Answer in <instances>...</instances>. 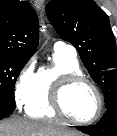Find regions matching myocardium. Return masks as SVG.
Returning a JSON list of instances; mask_svg holds the SVG:
<instances>
[{
  "label": "myocardium",
  "mask_w": 117,
  "mask_h": 136,
  "mask_svg": "<svg viewBox=\"0 0 117 136\" xmlns=\"http://www.w3.org/2000/svg\"><path fill=\"white\" fill-rule=\"evenodd\" d=\"M79 84H86L90 86L97 99V111L92 118L87 120L74 118L69 114L66 107V96L68 92ZM50 104L57 115L63 117L69 122L81 125L92 124L96 122L101 117L104 107L103 97L98 86L88 77L79 73H67L60 76L56 80L51 91Z\"/></svg>",
  "instance_id": "f54148a6"
}]
</instances>
